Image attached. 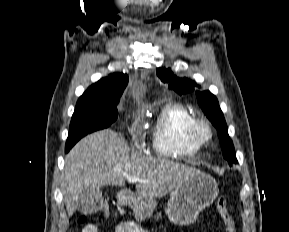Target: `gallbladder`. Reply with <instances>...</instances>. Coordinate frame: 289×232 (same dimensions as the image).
Masks as SVG:
<instances>
[{
	"label": "gallbladder",
	"instance_id": "gallbladder-1",
	"mask_svg": "<svg viewBox=\"0 0 289 232\" xmlns=\"http://www.w3.org/2000/svg\"><path fill=\"white\" fill-rule=\"evenodd\" d=\"M103 202L104 198L100 190L89 189L80 195L78 210L83 214L91 215L102 208Z\"/></svg>",
	"mask_w": 289,
	"mask_h": 232
}]
</instances>
